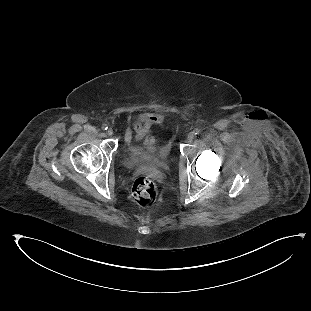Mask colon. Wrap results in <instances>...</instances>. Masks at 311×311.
Here are the masks:
<instances>
[{"label":"colon","mask_w":311,"mask_h":311,"mask_svg":"<svg viewBox=\"0 0 311 311\" xmlns=\"http://www.w3.org/2000/svg\"><path fill=\"white\" fill-rule=\"evenodd\" d=\"M133 201L141 208L152 206L158 196L157 187L148 177H138L132 185Z\"/></svg>","instance_id":"1"}]
</instances>
